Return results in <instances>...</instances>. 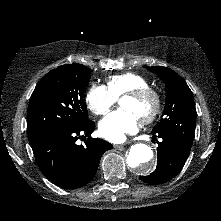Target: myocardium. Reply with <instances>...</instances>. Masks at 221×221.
<instances>
[{
	"label": "myocardium",
	"instance_id": "obj_1",
	"mask_svg": "<svg viewBox=\"0 0 221 221\" xmlns=\"http://www.w3.org/2000/svg\"><path fill=\"white\" fill-rule=\"evenodd\" d=\"M124 97H130L138 101L150 99L153 102L152 110L145 116L141 117L142 123H151L154 121L161 111V96L151 87L136 89L124 94Z\"/></svg>",
	"mask_w": 221,
	"mask_h": 221
}]
</instances>
